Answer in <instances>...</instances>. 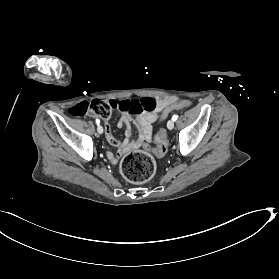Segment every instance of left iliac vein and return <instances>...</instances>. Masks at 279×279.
<instances>
[{
    "label": "left iliac vein",
    "instance_id": "left-iliac-vein-1",
    "mask_svg": "<svg viewBox=\"0 0 279 279\" xmlns=\"http://www.w3.org/2000/svg\"><path fill=\"white\" fill-rule=\"evenodd\" d=\"M167 128H168L169 130H172V129L174 128V121H173V120H169V121L167 122Z\"/></svg>",
    "mask_w": 279,
    "mask_h": 279
}]
</instances>
